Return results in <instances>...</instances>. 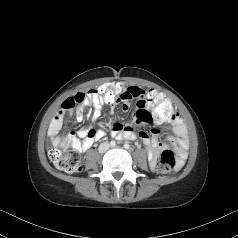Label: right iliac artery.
<instances>
[{
  "mask_svg": "<svg viewBox=\"0 0 238 238\" xmlns=\"http://www.w3.org/2000/svg\"><path fill=\"white\" fill-rule=\"evenodd\" d=\"M110 145H111L112 147H114V146L116 145V142H115L114 140H112V141L110 142Z\"/></svg>",
  "mask_w": 238,
  "mask_h": 238,
  "instance_id": "1",
  "label": "right iliac artery"
}]
</instances>
